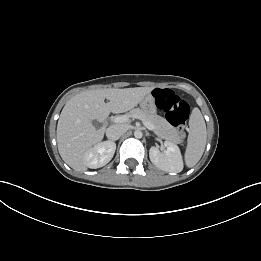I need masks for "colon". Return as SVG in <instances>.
<instances>
[{
	"label": "colon",
	"instance_id": "obj_1",
	"mask_svg": "<svg viewBox=\"0 0 261 261\" xmlns=\"http://www.w3.org/2000/svg\"><path fill=\"white\" fill-rule=\"evenodd\" d=\"M154 98L159 109L165 112L169 122L177 127L182 137L185 136V124L190 115L188 103L170 89H156Z\"/></svg>",
	"mask_w": 261,
	"mask_h": 261
}]
</instances>
